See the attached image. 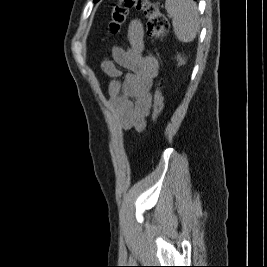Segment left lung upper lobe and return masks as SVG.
<instances>
[{
  "label": "left lung upper lobe",
  "instance_id": "obj_1",
  "mask_svg": "<svg viewBox=\"0 0 267 267\" xmlns=\"http://www.w3.org/2000/svg\"><path fill=\"white\" fill-rule=\"evenodd\" d=\"M99 0H94V2H98Z\"/></svg>",
  "mask_w": 267,
  "mask_h": 267
}]
</instances>
